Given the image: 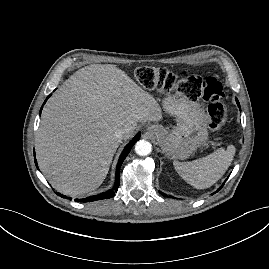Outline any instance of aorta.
<instances>
[{
  "label": "aorta",
  "mask_w": 269,
  "mask_h": 269,
  "mask_svg": "<svg viewBox=\"0 0 269 269\" xmlns=\"http://www.w3.org/2000/svg\"><path fill=\"white\" fill-rule=\"evenodd\" d=\"M152 151V145L150 142L145 140H139L135 144V152L140 156H146Z\"/></svg>",
  "instance_id": "obj_1"
}]
</instances>
